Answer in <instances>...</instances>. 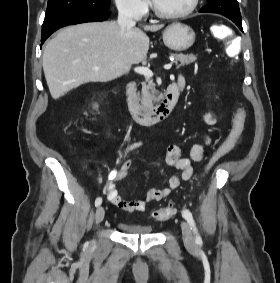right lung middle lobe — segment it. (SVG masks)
I'll return each mask as SVG.
<instances>
[{
    "label": "right lung middle lobe",
    "instance_id": "obj_1",
    "mask_svg": "<svg viewBox=\"0 0 280 283\" xmlns=\"http://www.w3.org/2000/svg\"><path fill=\"white\" fill-rule=\"evenodd\" d=\"M110 0H48L45 17L64 13H105L109 10Z\"/></svg>",
    "mask_w": 280,
    "mask_h": 283
}]
</instances>
